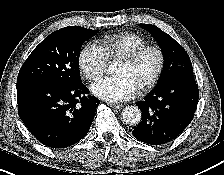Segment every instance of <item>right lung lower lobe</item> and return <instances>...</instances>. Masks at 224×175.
Instances as JSON below:
<instances>
[{"label":"right lung lower lobe","instance_id":"98d812e1","mask_svg":"<svg viewBox=\"0 0 224 175\" xmlns=\"http://www.w3.org/2000/svg\"><path fill=\"white\" fill-rule=\"evenodd\" d=\"M83 83L17 80L18 114L28 130L51 148L71 146L88 133L99 100Z\"/></svg>","mask_w":224,"mask_h":175}]
</instances>
